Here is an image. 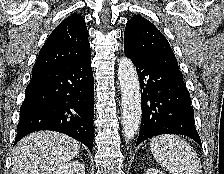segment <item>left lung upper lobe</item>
I'll return each mask as SVG.
<instances>
[{
  "label": "left lung upper lobe",
  "instance_id": "left-lung-upper-lobe-1",
  "mask_svg": "<svg viewBox=\"0 0 224 174\" xmlns=\"http://www.w3.org/2000/svg\"><path fill=\"white\" fill-rule=\"evenodd\" d=\"M124 52L142 60L165 61L176 67V57L163 34L147 19L133 16L124 32Z\"/></svg>",
  "mask_w": 224,
  "mask_h": 174
}]
</instances>
